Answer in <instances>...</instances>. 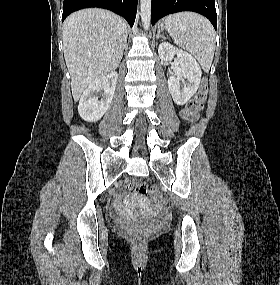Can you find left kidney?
<instances>
[{
    "label": "left kidney",
    "instance_id": "1",
    "mask_svg": "<svg viewBox=\"0 0 280 285\" xmlns=\"http://www.w3.org/2000/svg\"><path fill=\"white\" fill-rule=\"evenodd\" d=\"M158 54L162 60H172L177 55L180 70L176 76L168 79V88L173 101L177 105H184L196 93L201 81L202 71L197 61L187 52L177 49L169 43H161ZM186 79V82L184 81ZM183 81L184 87L180 86Z\"/></svg>",
    "mask_w": 280,
    "mask_h": 285
}]
</instances>
